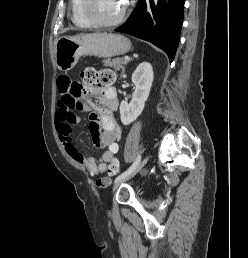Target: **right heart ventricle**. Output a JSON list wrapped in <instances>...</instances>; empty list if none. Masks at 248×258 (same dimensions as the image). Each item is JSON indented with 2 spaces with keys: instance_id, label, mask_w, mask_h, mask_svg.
<instances>
[{
  "instance_id": "right-heart-ventricle-1",
  "label": "right heart ventricle",
  "mask_w": 248,
  "mask_h": 258,
  "mask_svg": "<svg viewBox=\"0 0 248 258\" xmlns=\"http://www.w3.org/2000/svg\"><path fill=\"white\" fill-rule=\"evenodd\" d=\"M82 0H71L70 10L72 22L79 27H90V23L86 20L81 9Z\"/></svg>"
}]
</instances>
